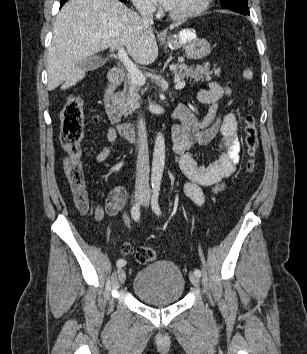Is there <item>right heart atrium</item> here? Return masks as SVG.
I'll return each instance as SVG.
<instances>
[{"label":"right heart atrium","instance_id":"d8ad5b80","mask_svg":"<svg viewBox=\"0 0 307 354\" xmlns=\"http://www.w3.org/2000/svg\"><path fill=\"white\" fill-rule=\"evenodd\" d=\"M133 5L143 13H153L155 11L154 0H131Z\"/></svg>","mask_w":307,"mask_h":354}]
</instances>
